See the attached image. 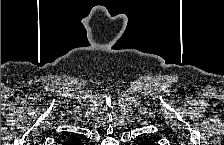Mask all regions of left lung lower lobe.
Listing matches in <instances>:
<instances>
[{"mask_svg": "<svg viewBox=\"0 0 224 145\" xmlns=\"http://www.w3.org/2000/svg\"><path fill=\"white\" fill-rule=\"evenodd\" d=\"M152 141L150 139H145L143 142H142V145H152Z\"/></svg>", "mask_w": 224, "mask_h": 145, "instance_id": "obj_1", "label": "left lung lower lobe"}]
</instances>
